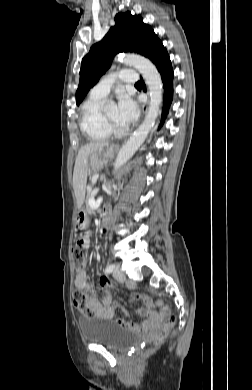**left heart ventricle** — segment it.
Masks as SVG:
<instances>
[{"instance_id": "obj_1", "label": "left heart ventricle", "mask_w": 252, "mask_h": 390, "mask_svg": "<svg viewBox=\"0 0 252 390\" xmlns=\"http://www.w3.org/2000/svg\"><path fill=\"white\" fill-rule=\"evenodd\" d=\"M105 114L107 115V117L114 123L120 125L118 119H117V107L116 106H111L106 112Z\"/></svg>"}]
</instances>
